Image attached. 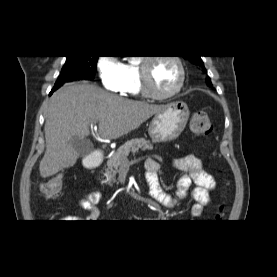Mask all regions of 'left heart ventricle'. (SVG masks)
Here are the masks:
<instances>
[{"label":"left heart ventricle","mask_w":277,"mask_h":277,"mask_svg":"<svg viewBox=\"0 0 277 277\" xmlns=\"http://www.w3.org/2000/svg\"><path fill=\"white\" fill-rule=\"evenodd\" d=\"M179 71L170 60L155 61L150 70V84L152 89L160 94L170 92L178 83Z\"/></svg>","instance_id":"1"}]
</instances>
